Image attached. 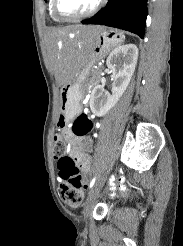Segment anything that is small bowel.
Wrapping results in <instances>:
<instances>
[{"label":"small bowel","instance_id":"obj_1","mask_svg":"<svg viewBox=\"0 0 183 246\" xmlns=\"http://www.w3.org/2000/svg\"><path fill=\"white\" fill-rule=\"evenodd\" d=\"M64 137L66 142L72 147L71 158L74 160L76 165L84 173L90 171L92 157L91 152H82V147H91L93 146L92 137L77 136L72 130H65ZM119 178H109L108 182L110 187H123V183H126V174H119ZM118 193H127V188H118ZM118 193H108V198H118Z\"/></svg>","mask_w":183,"mask_h":246}]
</instances>
